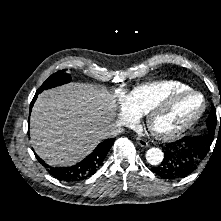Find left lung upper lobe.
<instances>
[{"mask_svg": "<svg viewBox=\"0 0 221 221\" xmlns=\"http://www.w3.org/2000/svg\"><path fill=\"white\" fill-rule=\"evenodd\" d=\"M207 127H208V132L205 135L197 136L198 141L201 142L202 146L207 147V150H206V153H205L204 157L209 152L210 146H211L212 141L214 139L215 131L218 128V122H217V118H216L215 107L212 108V110L209 114V117H208V120H207ZM219 130H221V118H220Z\"/></svg>", "mask_w": 221, "mask_h": 221, "instance_id": "1", "label": "left lung upper lobe"}]
</instances>
